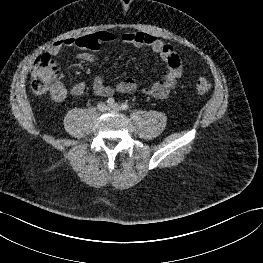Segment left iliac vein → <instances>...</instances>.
<instances>
[{"mask_svg":"<svg viewBox=\"0 0 263 263\" xmlns=\"http://www.w3.org/2000/svg\"><path fill=\"white\" fill-rule=\"evenodd\" d=\"M109 110L120 111L121 110V106L115 103V104L109 106Z\"/></svg>","mask_w":263,"mask_h":263,"instance_id":"4c4485c4","label":"left iliac vein"}]
</instances>
